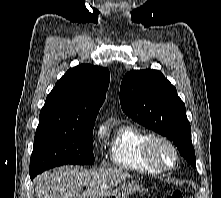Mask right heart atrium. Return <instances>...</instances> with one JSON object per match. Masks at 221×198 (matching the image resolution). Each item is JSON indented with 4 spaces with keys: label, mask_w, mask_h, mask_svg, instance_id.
I'll return each instance as SVG.
<instances>
[{
    "label": "right heart atrium",
    "mask_w": 221,
    "mask_h": 198,
    "mask_svg": "<svg viewBox=\"0 0 221 198\" xmlns=\"http://www.w3.org/2000/svg\"><path fill=\"white\" fill-rule=\"evenodd\" d=\"M99 135H101V130H100V131H98V136H99Z\"/></svg>",
    "instance_id": "1"
}]
</instances>
